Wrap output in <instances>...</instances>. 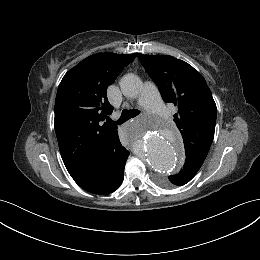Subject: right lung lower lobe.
<instances>
[{"label": "right lung lower lobe", "mask_w": 260, "mask_h": 260, "mask_svg": "<svg viewBox=\"0 0 260 260\" xmlns=\"http://www.w3.org/2000/svg\"><path fill=\"white\" fill-rule=\"evenodd\" d=\"M128 156L129 151L122 146L113 154L97 160L72 178L88 192L100 195L112 193L123 181Z\"/></svg>", "instance_id": "1"}]
</instances>
